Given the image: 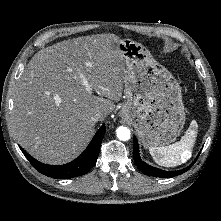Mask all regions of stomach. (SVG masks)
Returning a JSON list of instances; mask_svg holds the SVG:
<instances>
[{
	"label": "stomach",
	"instance_id": "1",
	"mask_svg": "<svg viewBox=\"0 0 221 221\" xmlns=\"http://www.w3.org/2000/svg\"><path fill=\"white\" fill-rule=\"evenodd\" d=\"M117 47L126 72L121 116L133 125L145 147L170 144L185 123L179 83L140 43L122 39Z\"/></svg>",
	"mask_w": 221,
	"mask_h": 221
}]
</instances>
